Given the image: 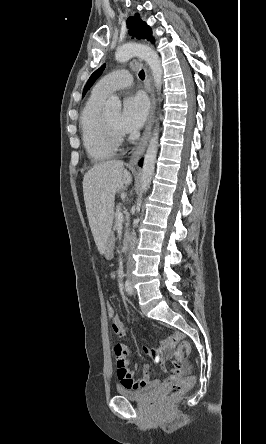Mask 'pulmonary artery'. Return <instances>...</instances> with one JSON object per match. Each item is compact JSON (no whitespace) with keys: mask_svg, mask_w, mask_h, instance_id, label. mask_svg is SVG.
I'll list each match as a JSON object with an SVG mask.
<instances>
[{"mask_svg":"<svg viewBox=\"0 0 266 444\" xmlns=\"http://www.w3.org/2000/svg\"><path fill=\"white\" fill-rule=\"evenodd\" d=\"M132 75L128 70L117 69L102 77L93 92L108 96L110 93L128 87L132 83Z\"/></svg>","mask_w":266,"mask_h":444,"instance_id":"pulmonary-artery-1","label":"pulmonary artery"}]
</instances>
